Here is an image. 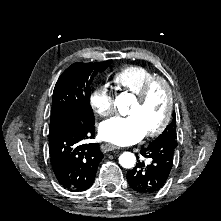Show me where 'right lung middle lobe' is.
<instances>
[{"mask_svg":"<svg viewBox=\"0 0 221 221\" xmlns=\"http://www.w3.org/2000/svg\"><path fill=\"white\" fill-rule=\"evenodd\" d=\"M111 62L74 63L61 74L53 91L50 125L65 118L94 121L90 85Z\"/></svg>","mask_w":221,"mask_h":221,"instance_id":"dd1d6c3e","label":"right lung middle lobe"}]
</instances>
